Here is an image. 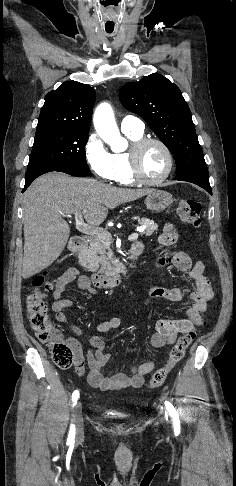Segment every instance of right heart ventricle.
<instances>
[{"label": "right heart ventricle", "mask_w": 236, "mask_h": 486, "mask_svg": "<svg viewBox=\"0 0 236 486\" xmlns=\"http://www.w3.org/2000/svg\"><path fill=\"white\" fill-rule=\"evenodd\" d=\"M125 135L132 141L136 142L143 138V133L128 132ZM113 155L114 174L113 181L121 185H133L136 181L133 179L128 159V152L115 153Z\"/></svg>", "instance_id": "e07e8e85"}]
</instances>
